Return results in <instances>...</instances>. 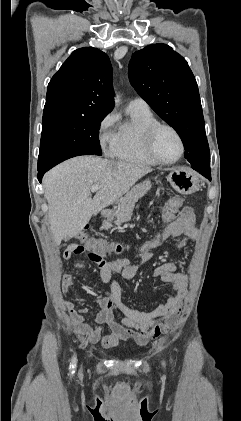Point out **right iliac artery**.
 <instances>
[{
	"label": "right iliac artery",
	"mask_w": 241,
	"mask_h": 421,
	"mask_svg": "<svg viewBox=\"0 0 241 421\" xmlns=\"http://www.w3.org/2000/svg\"><path fill=\"white\" fill-rule=\"evenodd\" d=\"M76 362H77L76 356H73V358H72V362H71V364H70V372H71L72 374L75 372V369H76Z\"/></svg>",
	"instance_id": "82829eb1"
}]
</instances>
